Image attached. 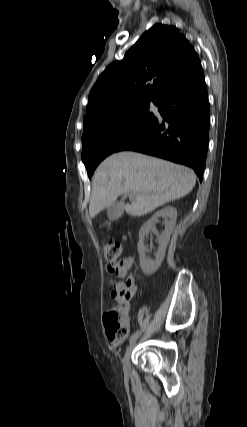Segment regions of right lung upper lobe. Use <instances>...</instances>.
Listing matches in <instances>:
<instances>
[{
    "label": "right lung upper lobe",
    "instance_id": "right-lung-upper-lobe-1",
    "mask_svg": "<svg viewBox=\"0 0 247 427\" xmlns=\"http://www.w3.org/2000/svg\"><path fill=\"white\" fill-rule=\"evenodd\" d=\"M201 73L198 55L185 36L176 27L157 24L99 76L89 94L84 129L123 109L158 104Z\"/></svg>",
    "mask_w": 247,
    "mask_h": 427
}]
</instances>
